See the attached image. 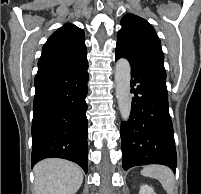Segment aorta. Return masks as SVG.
I'll list each match as a JSON object with an SVG mask.
<instances>
[{"label": "aorta", "mask_w": 201, "mask_h": 194, "mask_svg": "<svg viewBox=\"0 0 201 194\" xmlns=\"http://www.w3.org/2000/svg\"><path fill=\"white\" fill-rule=\"evenodd\" d=\"M130 79L131 67L129 61L121 58L115 66V93L121 117L125 122L129 120L131 112Z\"/></svg>", "instance_id": "obj_1"}]
</instances>
